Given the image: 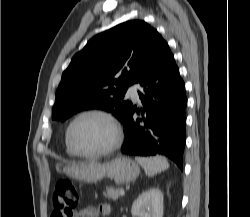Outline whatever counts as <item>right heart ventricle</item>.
<instances>
[{
	"label": "right heart ventricle",
	"instance_id": "right-heart-ventricle-1",
	"mask_svg": "<svg viewBox=\"0 0 250 217\" xmlns=\"http://www.w3.org/2000/svg\"><path fill=\"white\" fill-rule=\"evenodd\" d=\"M65 150L67 152L68 155L70 156H75V154L73 153V151L70 149L67 140H66V136H65Z\"/></svg>",
	"mask_w": 250,
	"mask_h": 217
}]
</instances>
